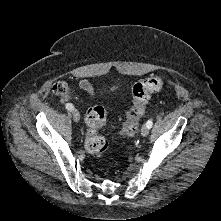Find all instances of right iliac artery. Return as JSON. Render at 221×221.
<instances>
[{
    "label": "right iliac artery",
    "mask_w": 221,
    "mask_h": 221,
    "mask_svg": "<svg viewBox=\"0 0 221 221\" xmlns=\"http://www.w3.org/2000/svg\"><path fill=\"white\" fill-rule=\"evenodd\" d=\"M66 109H67L68 111H72V110H74V106H73L71 103H67V104H66Z\"/></svg>",
    "instance_id": "right-iliac-artery-1"
}]
</instances>
